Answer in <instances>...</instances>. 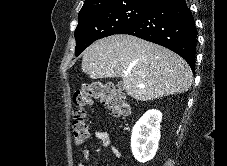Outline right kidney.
<instances>
[{"instance_id": "right-kidney-1", "label": "right kidney", "mask_w": 227, "mask_h": 166, "mask_svg": "<svg viewBox=\"0 0 227 166\" xmlns=\"http://www.w3.org/2000/svg\"><path fill=\"white\" fill-rule=\"evenodd\" d=\"M162 113L159 110H148L134 125L131 135V149L134 158L146 163L154 158L160 140Z\"/></svg>"}]
</instances>
